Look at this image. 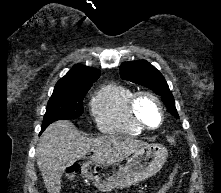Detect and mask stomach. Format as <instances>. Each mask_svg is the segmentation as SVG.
Listing matches in <instances>:
<instances>
[{
	"instance_id": "stomach-1",
	"label": "stomach",
	"mask_w": 221,
	"mask_h": 193,
	"mask_svg": "<svg viewBox=\"0 0 221 193\" xmlns=\"http://www.w3.org/2000/svg\"><path fill=\"white\" fill-rule=\"evenodd\" d=\"M168 151L161 144H147L133 153L124 166L86 162L82 174L101 192H110L136 184L155 175L167 160Z\"/></svg>"
}]
</instances>
